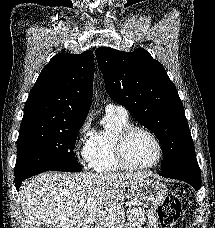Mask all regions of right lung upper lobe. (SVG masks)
I'll return each instance as SVG.
<instances>
[{"mask_svg":"<svg viewBox=\"0 0 215 228\" xmlns=\"http://www.w3.org/2000/svg\"><path fill=\"white\" fill-rule=\"evenodd\" d=\"M94 76V55L58 53L43 68L30 91L20 129L85 121Z\"/></svg>","mask_w":215,"mask_h":228,"instance_id":"right-lung-upper-lobe-1","label":"right lung upper lobe"}]
</instances>
